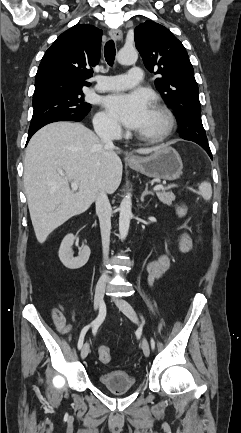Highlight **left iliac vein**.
Here are the masks:
<instances>
[{
  "instance_id": "1",
  "label": "left iliac vein",
  "mask_w": 241,
  "mask_h": 433,
  "mask_svg": "<svg viewBox=\"0 0 241 433\" xmlns=\"http://www.w3.org/2000/svg\"><path fill=\"white\" fill-rule=\"evenodd\" d=\"M113 300L116 303V305L118 306V308L129 319H131L133 322H135L137 324L139 323V319H138L136 312L134 311L133 307L126 300H124L122 298H117V299H113ZM142 350H143V353L146 357H148L150 355V346H149V343L145 337H143V340H142Z\"/></svg>"
}]
</instances>
